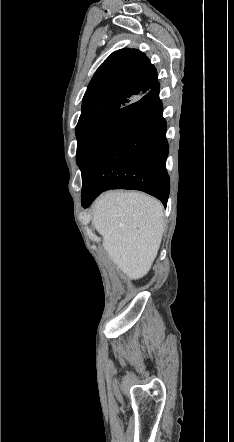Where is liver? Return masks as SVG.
Listing matches in <instances>:
<instances>
[{
	"label": "liver",
	"instance_id": "6515ba94",
	"mask_svg": "<svg viewBox=\"0 0 234 442\" xmlns=\"http://www.w3.org/2000/svg\"><path fill=\"white\" fill-rule=\"evenodd\" d=\"M92 211V223L113 263L130 279L145 276L165 229L162 204L140 192L108 191L96 199Z\"/></svg>",
	"mask_w": 234,
	"mask_h": 442
}]
</instances>
